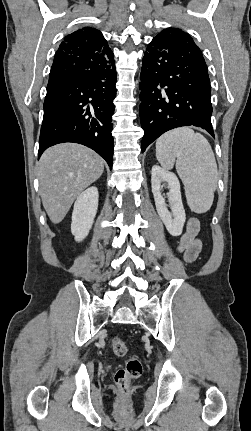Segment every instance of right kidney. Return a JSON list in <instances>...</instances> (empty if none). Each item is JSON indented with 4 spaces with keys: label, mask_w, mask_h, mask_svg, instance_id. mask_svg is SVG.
<instances>
[{
    "label": "right kidney",
    "mask_w": 251,
    "mask_h": 431,
    "mask_svg": "<svg viewBox=\"0 0 251 431\" xmlns=\"http://www.w3.org/2000/svg\"><path fill=\"white\" fill-rule=\"evenodd\" d=\"M98 198V189L94 186L77 197L71 223V232L77 242L85 239L92 228L98 209Z\"/></svg>",
    "instance_id": "obj_1"
}]
</instances>
